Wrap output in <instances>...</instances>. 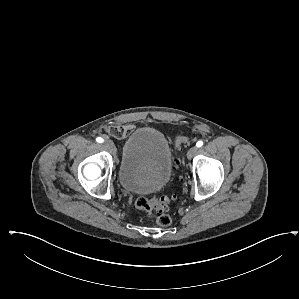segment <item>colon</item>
Returning a JSON list of instances; mask_svg holds the SVG:
<instances>
[{"label": "colon", "instance_id": "obj_1", "mask_svg": "<svg viewBox=\"0 0 299 299\" xmlns=\"http://www.w3.org/2000/svg\"><path fill=\"white\" fill-rule=\"evenodd\" d=\"M190 143V139L185 135H177L174 140L176 148L186 146ZM171 198L166 195L157 196L154 198L139 197L135 201V207L145 212L149 217H155L156 222L160 226H169L171 217L164 213L169 208Z\"/></svg>", "mask_w": 299, "mask_h": 299}]
</instances>
